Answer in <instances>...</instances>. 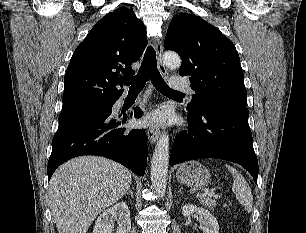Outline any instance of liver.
Here are the masks:
<instances>
[{"instance_id": "liver-1", "label": "liver", "mask_w": 306, "mask_h": 233, "mask_svg": "<svg viewBox=\"0 0 306 233\" xmlns=\"http://www.w3.org/2000/svg\"><path fill=\"white\" fill-rule=\"evenodd\" d=\"M131 172L103 157L74 158L53 174L48 196L59 233H86L94 219L120 200L131 185Z\"/></svg>"}]
</instances>
